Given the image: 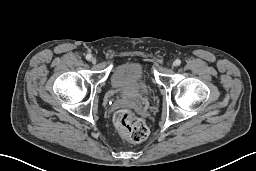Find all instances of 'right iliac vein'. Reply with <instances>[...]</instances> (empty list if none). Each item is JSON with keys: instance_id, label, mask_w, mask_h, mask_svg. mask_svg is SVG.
Instances as JSON below:
<instances>
[{"instance_id": "right-iliac-vein-1", "label": "right iliac vein", "mask_w": 256, "mask_h": 171, "mask_svg": "<svg viewBox=\"0 0 256 171\" xmlns=\"http://www.w3.org/2000/svg\"><path fill=\"white\" fill-rule=\"evenodd\" d=\"M91 62H92L93 64H96V62H97V61H96V58H92V59H91Z\"/></svg>"}]
</instances>
